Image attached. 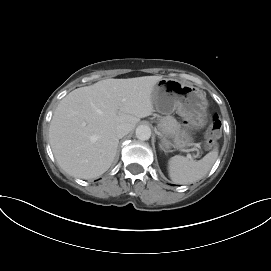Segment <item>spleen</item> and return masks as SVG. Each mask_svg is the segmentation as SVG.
Wrapping results in <instances>:
<instances>
[{
    "mask_svg": "<svg viewBox=\"0 0 271 271\" xmlns=\"http://www.w3.org/2000/svg\"><path fill=\"white\" fill-rule=\"evenodd\" d=\"M217 157L218 149H213L198 161L176 155L168 161L169 177L176 184L197 182L210 171Z\"/></svg>",
    "mask_w": 271,
    "mask_h": 271,
    "instance_id": "obj_1",
    "label": "spleen"
}]
</instances>
